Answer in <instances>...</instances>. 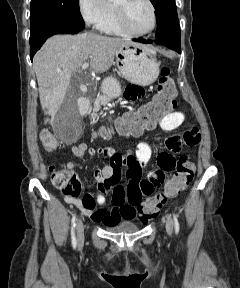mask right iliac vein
<instances>
[{
  "label": "right iliac vein",
  "instance_id": "obj_1",
  "mask_svg": "<svg viewBox=\"0 0 240 288\" xmlns=\"http://www.w3.org/2000/svg\"><path fill=\"white\" fill-rule=\"evenodd\" d=\"M76 232L78 245L81 246L84 242V226L81 219H78L76 222Z\"/></svg>",
  "mask_w": 240,
  "mask_h": 288
}]
</instances>
